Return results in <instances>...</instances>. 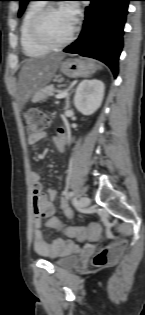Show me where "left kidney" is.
<instances>
[{"mask_svg": "<svg viewBox=\"0 0 145 315\" xmlns=\"http://www.w3.org/2000/svg\"><path fill=\"white\" fill-rule=\"evenodd\" d=\"M104 83L98 79L83 80L77 87L74 105L84 115H91L102 104Z\"/></svg>", "mask_w": 145, "mask_h": 315, "instance_id": "5707ae66", "label": "left kidney"}]
</instances>
